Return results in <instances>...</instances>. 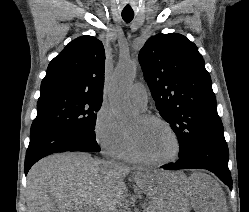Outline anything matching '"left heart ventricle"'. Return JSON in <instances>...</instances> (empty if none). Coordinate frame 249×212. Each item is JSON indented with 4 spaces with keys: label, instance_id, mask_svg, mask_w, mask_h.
<instances>
[{
    "label": "left heart ventricle",
    "instance_id": "left-heart-ventricle-1",
    "mask_svg": "<svg viewBox=\"0 0 249 212\" xmlns=\"http://www.w3.org/2000/svg\"><path fill=\"white\" fill-rule=\"evenodd\" d=\"M127 133L135 150L147 160H167L176 152L174 137L159 123L144 122L139 117L132 123Z\"/></svg>",
    "mask_w": 249,
    "mask_h": 212
}]
</instances>
